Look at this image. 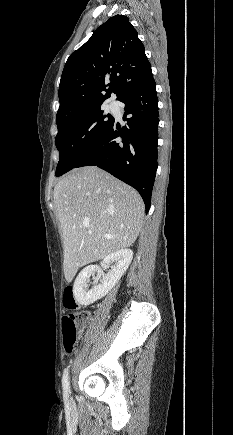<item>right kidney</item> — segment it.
I'll return each instance as SVG.
<instances>
[{"instance_id":"ca27d5eb","label":"right kidney","mask_w":233,"mask_h":435,"mask_svg":"<svg viewBox=\"0 0 233 435\" xmlns=\"http://www.w3.org/2000/svg\"><path fill=\"white\" fill-rule=\"evenodd\" d=\"M132 259L133 252L130 249H121L107 255L102 267H111V270L103 276L101 284L94 286L91 290L87 288V280L100 267L91 265L84 268L75 279L73 286V294L77 302L87 306L104 297L124 275Z\"/></svg>"}]
</instances>
